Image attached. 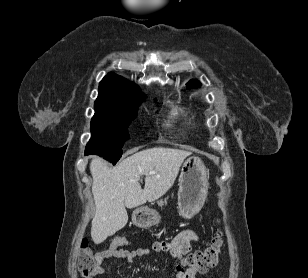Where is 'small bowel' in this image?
Returning a JSON list of instances; mask_svg holds the SVG:
<instances>
[{
	"mask_svg": "<svg viewBox=\"0 0 308 278\" xmlns=\"http://www.w3.org/2000/svg\"><path fill=\"white\" fill-rule=\"evenodd\" d=\"M198 240V235L191 229H185L178 233L171 241H158L155 242L152 248H136L128 250L119 247L118 250H105L100 253L102 262L105 259H123L128 263H133L137 259L142 257H150L153 253H168L176 259H180L182 256L189 254L192 250V242ZM103 273L101 267L98 275ZM176 278H196V272L191 269H184L178 265L176 267Z\"/></svg>",
	"mask_w": 308,
	"mask_h": 278,
	"instance_id": "obj_1",
	"label": "small bowel"
}]
</instances>
